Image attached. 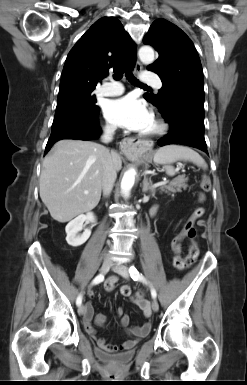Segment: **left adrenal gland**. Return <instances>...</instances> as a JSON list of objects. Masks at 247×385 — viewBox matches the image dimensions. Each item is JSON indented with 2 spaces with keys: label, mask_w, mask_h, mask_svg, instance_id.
<instances>
[{
  "label": "left adrenal gland",
  "mask_w": 247,
  "mask_h": 385,
  "mask_svg": "<svg viewBox=\"0 0 247 385\" xmlns=\"http://www.w3.org/2000/svg\"><path fill=\"white\" fill-rule=\"evenodd\" d=\"M142 191L147 193L148 191L154 194L155 189L152 187V183L148 180L147 176H144Z\"/></svg>",
  "instance_id": "a2214340"
}]
</instances>
